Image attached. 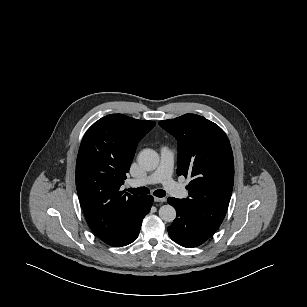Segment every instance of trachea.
<instances>
[{"label": "trachea", "instance_id": "trachea-1", "mask_svg": "<svg viewBox=\"0 0 307 307\" xmlns=\"http://www.w3.org/2000/svg\"><path fill=\"white\" fill-rule=\"evenodd\" d=\"M128 191L132 194H139V195H145L149 194V189L146 187H139V188H129ZM156 197L162 198L166 195V192L162 189H157L153 193Z\"/></svg>", "mask_w": 307, "mask_h": 307}]
</instances>
